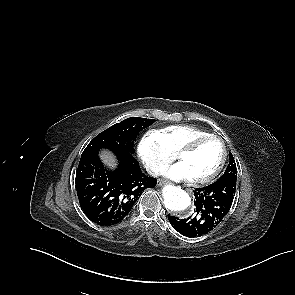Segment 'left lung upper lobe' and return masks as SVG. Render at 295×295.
Here are the masks:
<instances>
[{
	"instance_id": "5c2ea615",
	"label": "left lung upper lobe",
	"mask_w": 295,
	"mask_h": 295,
	"mask_svg": "<svg viewBox=\"0 0 295 295\" xmlns=\"http://www.w3.org/2000/svg\"><path fill=\"white\" fill-rule=\"evenodd\" d=\"M229 160H230L229 165H228L226 171L219 179L233 178V179L237 180L236 164H235V160L233 158V155L231 153H230Z\"/></svg>"
}]
</instances>
